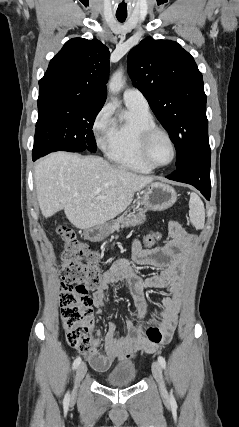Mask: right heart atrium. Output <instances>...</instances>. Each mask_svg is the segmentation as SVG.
<instances>
[{
  "instance_id": "1",
  "label": "right heart atrium",
  "mask_w": 239,
  "mask_h": 427,
  "mask_svg": "<svg viewBox=\"0 0 239 427\" xmlns=\"http://www.w3.org/2000/svg\"><path fill=\"white\" fill-rule=\"evenodd\" d=\"M114 127L112 108L104 106L94 118L92 131L97 144L104 148Z\"/></svg>"
}]
</instances>
